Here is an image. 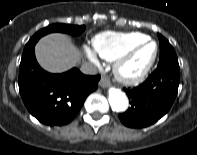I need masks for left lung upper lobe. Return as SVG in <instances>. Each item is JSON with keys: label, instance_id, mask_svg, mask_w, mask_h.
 Here are the masks:
<instances>
[{"label": "left lung upper lobe", "instance_id": "left-lung-upper-lobe-1", "mask_svg": "<svg viewBox=\"0 0 197 155\" xmlns=\"http://www.w3.org/2000/svg\"><path fill=\"white\" fill-rule=\"evenodd\" d=\"M158 38L160 42V59L158 66L164 64H173L179 66L176 53L168 40H166L160 34H158Z\"/></svg>", "mask_w": 197, "mask_h": 155}]
</instances>
